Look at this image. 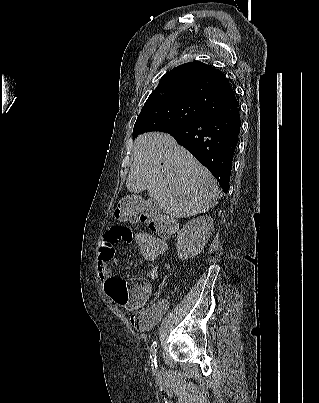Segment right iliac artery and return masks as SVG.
Instances as JSON below:
<instances>
[{
    "label": "right iliac artery",
    "mask_w": 319,
    "mask_h": 403,
    "mask_svg": "<svg viewBox=\"0 0 319 403\" xmlns=\"http://www.w3.org/2000/svg\"><path fill=\"white\" fill-rule=\"evenodd\" d=\"M156 354H157V342L154 341L152 343V345H151V350H150V358H151V361H152V369L154 371H157V360H156L157 355Z\"/></svg>",
    "instance_id": "right-iliac-artery-1"
}]
</instances>
